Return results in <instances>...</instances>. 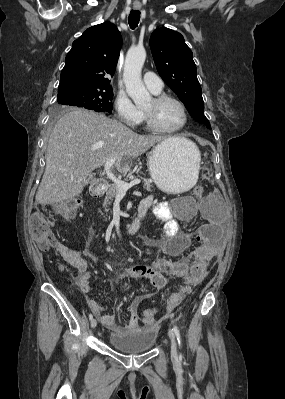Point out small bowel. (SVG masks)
Returning <instances> with one entry per match:
<instances>
[{
	"instance_id": "small-bowel-1",
	"label": "small bowel",
	"mask_w": 285,
	"mask_h": 399,
	"mask_svg": "<svg viewBox=\"0 0 285 399\" xmlns=\"http://www.w3.org/2000/svg\"><path fill=\"white\" fill-rule=\"evenodd\" d=\"M139 207H146V213L153 207V214L162 223V236L151 240L156 257L151 265L137 266L118 272L113 281L125 279L141 280L149 283L157 290L163 289L172 278H179L187 284V287L172 293L167 301L168 310L178 306L184 297L189 294L192 286L196 285L204 276V273L196 281H190V254L193 262L203 264L206 268L218 255L220 238L218 228L221 218L214 206L211 197L194 207L187 214L188 219L194 215H201L205 223L196 232H184L171 212L167 201H155L152 195L145 196ZM197 245L193 247V244ZM71 264L81 273L79 285L88 293L91 289V274L87 271V260L79 255H73ZM141 297H134L128 307V315L121 326L113 315L104 314V307L93 299L88 301V306L100 323L113 332H121L138 327L137 306Z\"/></svg>"
}]
</instances>
